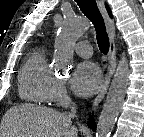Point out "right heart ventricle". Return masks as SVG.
I'll use <instances>...</instances> for the list:
<instances>
[{"instance_id":"obj_1","label":"right heart ventricle","mask_w":144,"mask_h":137,"mask_svg":"<svg viewBox=\"0 0 144 137\" xmlns=\"http://www.w3.org/2000/svg\"><path fill=\"white\" fill-rule=\"evenodd\" d=\"M57 78L48 66L46 50L33 49L27 56L18 77L20 97L35 104H48L53 99Z\"/></svg>"}]
</instances>
